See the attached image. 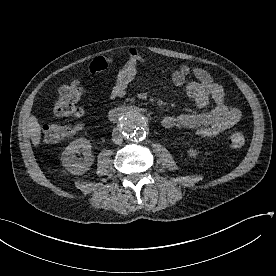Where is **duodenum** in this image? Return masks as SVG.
I'll use <instances>...</instances> for the list:
<instances>
[{"mask_svg": "<svg viewBox=\"0 0 276 276\" xmlns=\"http://www.w3.org/2000/svg\"><path fill=\"white\" fill-rule=\"evenodd\" d=\"M129 109L126 107H115L109 111V119L116 121L119 118L125 116L128 113Z\"/></svg>", "mask_w": 276, "mask_h": 276, "instance_id": "410a0bca", "label": "duodenum"}]
</instances>
